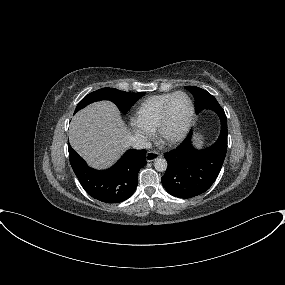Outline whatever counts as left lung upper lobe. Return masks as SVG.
I'll return each instance as SVG.
<instances>
[{"mask_svg": "<svg viewBox=\"0 0 285 285\" xmlns=\"http://www.w3.org/2000/svg\"><path fill=\"white\" fill-rule=\"evenodd\" d=\"M185 88L190 91L195 98V109L197 114L203 109L219 105L215 97L206 90L196 86H186Z\"/></svg>", "mask_w": 285, "mask_h": 285, "instance_id": "5c2ea615", "label": "left lung upper lobe"}]
</instances>
